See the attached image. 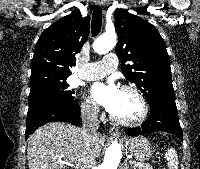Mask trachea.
Wrapping results in <instances>:
<instances>
[{
  "mask_svg": "<svg viewBox=\"0 0 200 169\" xmlns=\"http://www.w3.org/2000/svg\"><path fill=\"white\" fill-rule=\"evenodd\" d=\"M102 26V11L100 7L96 6L92 15L91 33L95 37L99 34Z\"/></svg>",
  "mask_w": 200,
  "mask_h": 169,
  "instance_id": "3493384b",
  "label": "trachea"
}]
</instances>
